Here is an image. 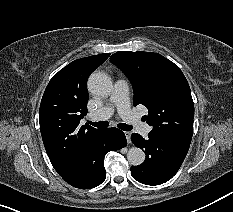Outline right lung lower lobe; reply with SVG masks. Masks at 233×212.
<instances>
[{
    "label": "right lung lower lobe",
    "mask_w": 233,
    "mask_h": 212,
    "mask_svg": "<svg viewBox=\"0 0 233 212\" xmlns=\"http://www.w3.org/2000/svg\"><path fill=\"white\" fill-rule=\"evenodd\" d=\"M127 144L125 134L117 128L102 129L85 159L71 172L61 176L70 185L90 189L106 178L104 157L111 150H119Z\"/></svg>",
    "instance_id": "obj_1"
}]
</instances>
